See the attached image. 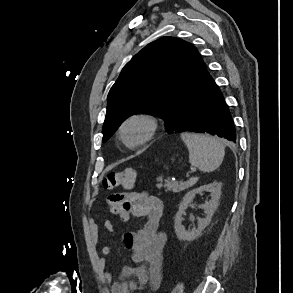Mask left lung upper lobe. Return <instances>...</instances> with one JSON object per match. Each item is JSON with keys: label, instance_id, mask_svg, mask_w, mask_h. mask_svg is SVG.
<instances>
[{"label": "left lung upper lobe", "instance_id": "left-lung-upper-lobe-1", "mask_svg": "<svg viewBox=\"0 0 293 293\" xmlns=\"http://www.w3.org/2000/svg\"><path fill=\"white\" fill-rule=\"evenodd\" d=\"M211 79L192 44L173 37L149 43L124 66L109 91L102 141L139 113L159 116L166 121V131L173 132L186 105Z\"/></svg>", "mask_w": 293, "mask_h": 293}]
</instances>
